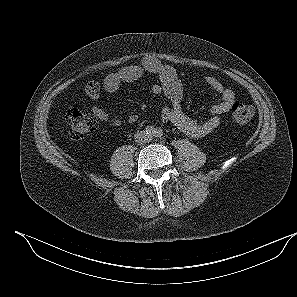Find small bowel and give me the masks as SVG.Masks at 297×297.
I'll return each instance as SVG.
<instances>
[{
	"label": "small bowel",
	"instance_id": "obj_1",
	"mask_svg": "<svg viewBox=\"0 0 297 297\" xmlns=\"http://www.w3.org/2000/svg\"><path fill=\"white\" fill-rule=\"evenodd\" d=\"M145 74L158 77L160 84L154 85L152 92L156 95L163 93L168 99L161 111V121L174 124L191 138H201L215 130L236 100L235 93L220 81L211 77H200L203 86L216 95L219 100L213 105L207 118L200 121L191 119L182 109L183 87L181 73L174 67L164 65L153 57H145L139 65L126 66L117 72L109 74L102 85L95 81L89 82L86 86V94L97 102L101 97V88L108 93H114L124 84L133 83ZM91 111L100 122L112 126H120L124 123L134 124L139 119L136 112L129 113L125 118L112 116L96 104L92 106Z\"/></svg>",
	"mask_w": 297,
	"mask_h": 297
}]
</instances>
